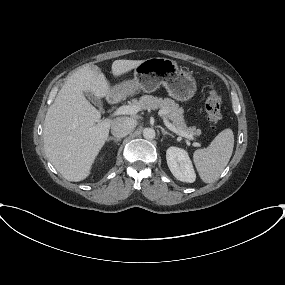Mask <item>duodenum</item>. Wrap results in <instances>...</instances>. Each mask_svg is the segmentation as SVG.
<instances>
[{"label":"duodenum","mask_w":285,"mask_h":285,"mask_svg":"<svg viewBox=\"0 0 285 285\" xmlns=\"http://www.w3.org/2000/svg\"><path fill=\"white\" fill-rule=\"evenodd\" d=\"M116 102V97L115 96H110L109 97V103L114 104Z\"/></svg>","instance_id":"duodenum-1"}]
</instances>
